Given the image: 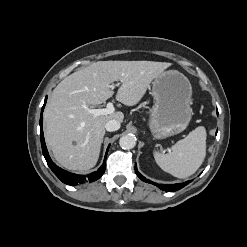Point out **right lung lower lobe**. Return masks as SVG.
I'll return each instance as SVG.
<instances>
[{"instance_id":"obj_1","label":"right lung lower lobe","mask_w":247,"mask_h":247,"mask_svg":"<svg viewBox=\"0 0 247 247\" xmlns=\"http://www.w3.org/2000/svg\"><path fill=\"white\" fill-rule=\"evenodd\" d=\"M46 101H47V97L45 98V102H44V105L42 107V111H41V116H40V138H41V146H42V151H43V155L46 159V162L48 164V166L51 168V170L55 173V175L65 184L67 185H77V184H80L82 182H93V181H96L97 179H99L104 171H105V166H106V156H107V152H108V149H107V152H106V155H105V159H104V162L102 164V166L95 172L87 175V176H84V175H77V174H73V173H70V172H67L61 168H59L57 165H55L49 154H48V151H47V148H46V144H45V140H44V135H43V110H44V106L46 104Z\"/></svg>"}]
</instances>
